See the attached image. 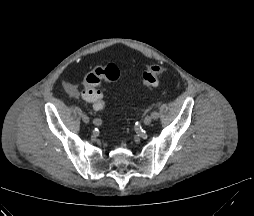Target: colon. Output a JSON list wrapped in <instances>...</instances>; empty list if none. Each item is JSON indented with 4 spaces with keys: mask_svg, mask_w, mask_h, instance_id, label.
I'll use <instances>...</instances> for the list:
<instances>
[{
    "mask_svg": "<svg viewBox=\"0 0 254 216\" xmlns=\"http://www.w3.org/2000/svg\"><path fill=\"white\" fill-rule=\"evenodd\" d=\"M162 68L159 65L152 64L147 66L142 74L143 85L148 89H154L159 84L162 75ZM120 71L114 64L106 66H97L88 72L83 78V98L94 105L105 104L102 92L98 86L102 81L114 82L119 78Z\"/></svg>",
    "mask_w": 254,
    "mask_h": 216,
    "instance_id": "1",
    "label": "colon"
}]
</instances>
